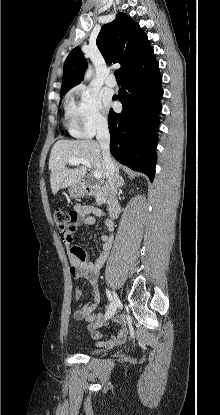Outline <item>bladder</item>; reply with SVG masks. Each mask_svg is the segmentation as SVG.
<instances>
[{"label": "bladder", "instance_id": "31cf9c89", "mask_svg": "<svg viewBox=\"0 0 220 415\" xmlns=\"http://www.w3.org/2000/svg\"><path fill=\"white\" fill-rule=\"evenodd\" d=\"M100 352H102V349H101V348H99V347H95L94 349H92V350H91V353H92V354H98V353H100Z\"/></svg>", "mask_w": 220, "mask_h": 415}]
</instances>
